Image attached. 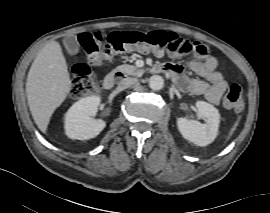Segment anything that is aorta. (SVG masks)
I'll use <instances>...</instances> for the list:
<instances>
[{
    "label": "aorta",
    "instance_id": "1",
    "mask_svg": "<svg viewBox=\"0 0 270 213\" xmlns=\"http://www.w3.org/2000/svg\"><path fill=\"white\" fill-rule=\"evenodd\" d=\"M164 86V79L159 75H153L149 79V87L152 90L158 91L161 90Z\"/></svg>",
    "mask_w": 270,
    "mask_h": 213
}]
</instances>
